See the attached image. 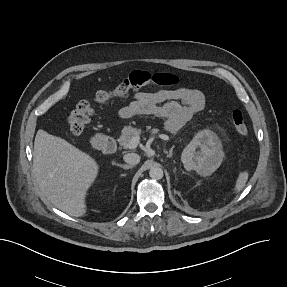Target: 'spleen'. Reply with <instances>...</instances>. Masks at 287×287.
Listing matches in <instances>:
<instances>
[{
	"instance_id": "spleen-1",
	"label": "spleen",
	"mask_w": 287,
	"mask_h": 287,
	"mask_svg": "<svg viewBox=\"0 0 287 287\" xmlns=\"http://www.w3.org/2000/svg\"><path fill=\"white\" fill-rule=\"evenodd\" d=\"M248 176L249 174L247 171H243L239 173L238 178L235 183V188H234L235 192H239L244 188L248 180Z\"/></svg>"
}]
</instances>
